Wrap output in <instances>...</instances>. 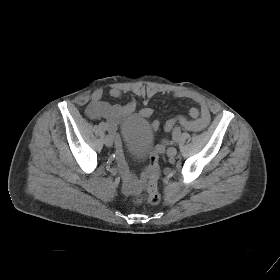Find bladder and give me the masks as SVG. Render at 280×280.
<instances>
[{
	"mask_svg": "<svg viewBox=\"0 0 280 280\" xmlns=\"http://www.w3.org/2000/svg\"><path fill=\"white\" fill-rule=\"evenodd\" d=\"M120 135L125 149L134 160L143 159L154 140L150 123L140 115L127 117L120 126Z\"/></svg>",
	"mask_w": 280,
	"mask_h": 280,
	"instance_id": "1",
	"label": "bladder"
}]
</instances>
